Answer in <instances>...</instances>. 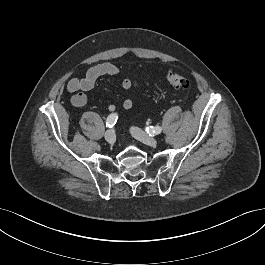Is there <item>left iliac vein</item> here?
<instances>
[{"instance_id": "1", "label": "left iliac vein", "mask_w": 265, "mask_h": 265, "mask_svg": "<svg viewBox=\"0 0 265 265\" xmlns=\"http://www.w3.org/2000/svg\"><path fill=\"white\" fill-rule=\"evenodd\" d=\"M131 134L134 138L140 140L141 142H143L146 145L156 146L158 144L157 139L149 136L148 134H146L144 131H142L141 129H139L137 127L131 128Z\"/></svg>"}]
</instances>
